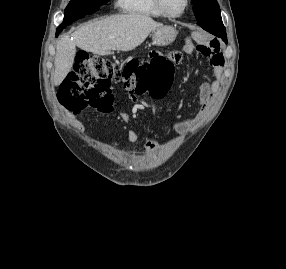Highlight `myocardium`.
Wrapping results in <instances>:
<instances>
[{
	"mask_svg": "<svg viewBox=\"0 0 286 269\" xmlns=\"http://www.w3.org/2000/svg\"><path fill=\"white\" fill-rule=\"evenodd\" d=\"M154 2H155L157 9L162 13V15L168 18H179L183 16L185 12L187 11L189 4H190V0H185L184 7L181 10V12L175 14V13H171L170 11H168V9L165 7L164 0H154Z\"/></svg>",
	"mask_w": 286,
	"mask_h": 269,
	"instance_id": "1",
	"label": "myocardium"
}]
</instances>
